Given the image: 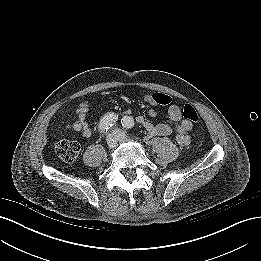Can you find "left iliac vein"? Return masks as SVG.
<instances>
[{"mask_svg": "<svg viewBox=\"0 0 261 261\" xmlns=\"http://www.w3.org/2000/svg\"><path fill=\"white\" fill-rule=\"evenodd\" d=\"M114 133H115V135L117 137V140H119V141H124V140L127 139L126 134L123 131L119 130V129H115Z\"/></svg>", "mask_w": 261, "mask_h": 261, "instance_id": "4c4485c4", "label": "left iliac vein"}]
</instances>
